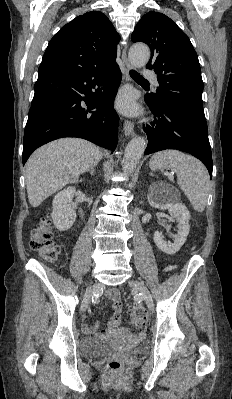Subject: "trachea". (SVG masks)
<instances>
[{
  "label": "trachea",
  "mask_w": 232,
  "mask_h": 399,
  "mask_svg": "<svg viewBox=\"0 0 232 399\" xmlns=\"http://www.w3.org/2000/svg\"><path fill=\"white\" fill-rule=\"evenodd\" d=\"M130 76L134 80H145V81H147L144 77H142V75H140V73L136 72L135 70H130Z\"/></svg>",
  "instance_id": "1"
}]
</instances>
